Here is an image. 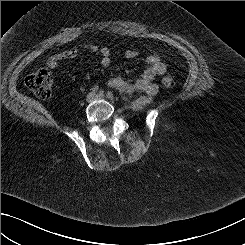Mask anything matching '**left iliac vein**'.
Listing matches in <instances>:
<instances>
[{
  "mask_svg": "<svg viewBox=\"0 0 245 245\" xmlns=\"http://www.w3.org/2000/svg\"><path fill=\"white\" fill-rule=\"evenodd\" d=\"M96 98H97V99H104L105 96H104V95H97Z\"/></svg>",
  "mask_w": 245,
  "mask_h": 245,
  "instance_id": "obj_1",
  "label": "left iliac vein"
}]
</instances>
